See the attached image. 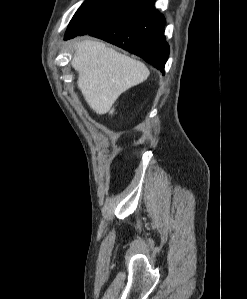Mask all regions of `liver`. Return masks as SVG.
<instances>
[{"instance_id":"1","label":"liver","mask_w":247,"mask_h":299,"mask_svg":"<svg viewBox=\"0 0 247 299\" xmlns=\"http://www.w3.org/2000/svg\"><path fill=\"white\" fill-rule=\"evenodd\" d=\"M74 49L71 65L78 72L77 86L98 115L107 113L123 92L149 76L142 62L106 47L103 42L83 40L76 42Z\"/></svg>"}]
</instances>
